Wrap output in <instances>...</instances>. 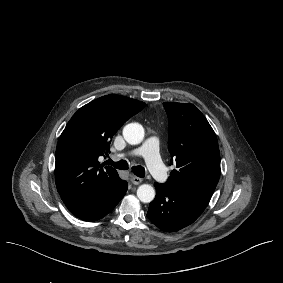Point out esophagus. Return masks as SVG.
Masks as SVG:
<instances>
[{"mask_svg": "<svg viewBox=\"0 0 283 283\" xmlns=\"http://www.w3.org/2000/svg\"><path fill=\"white\" fill-rule=\"evenodd\" d=\"M142 178H139V177H137V176H133L132 178H131V182L134 184V185H139V184H141L142 183Z\"/></svg>", "mask_w": 283, "mask_h": 283, "instance_id": "34e87169", "label": "esophagus"}]
</instances>
